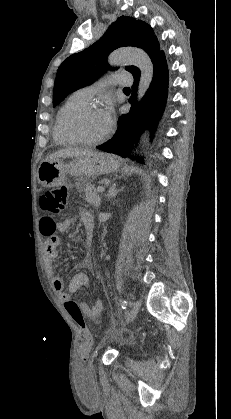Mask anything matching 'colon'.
Returning a JSON list of instances; mask_svg holds the SVG:
<instances>
[{
  "label": "colon",
  "instance_id": "obj_1",
  "mask_svg": "<svg viewBox=\"0 0 231 419\" xmlns=\"http://www.w3.org/2000/svg\"><path fill=\"white\" fill-rule=\"evenodd\" d=\"M68 202V190L65 186H60L48 190L41 198V206L43 209L48 210L52 213L59 214L63 212ZM65 308L76 323L81 327L82 334L86 346L91 345L92 335L86 328L83 315L73 300L65 302Z\"/></svg>",
  "mask_w": 231,
  "mask_h": 419
}]
</instances>
